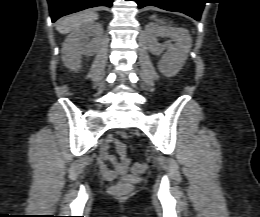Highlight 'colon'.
Returning a JSON list of instances; mask_svg holds the SVG:
<instances>
[{
    "instance_id": "5ec220e1",
    "label": "colon",
    "mask_w": 260,
    "mask_h": 217,
    "mask_svg": "<svg viewBox=\"0 0 260 217\" xmlns=\"http://www.w3.org/2000/svg\"><path fill=\"white\" fill-rule=\"evenodd\" d=\"M146 169V164L143 162H137L133 165L132 171L134 173H141ZM128 189V185L123 182H119L111 188V191L116 194H124Z\"/></svg>"
}]
</instances>
